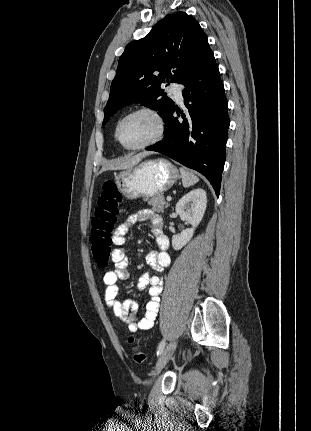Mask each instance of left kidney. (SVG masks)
Wrapping results in <instances>:
<instances>
[{
    "label": "left kidney",
    "instance_id": "5707ae66",
    "mask_svg": "<svg viewBox=\"0 0 311 431\" xmlns=\"http://www.w3.org/2000/svg\"><path fill=\"white\" fill-rule=\"evenodd\" d=\"M207 206V196L205 190L197 188L185 194L176 204V214L183 219L189 221L192 227L183 229L180 235H172V245L174 249H181L191 237H193L194 229L199 225L202 217L205 214Z\"/></svg>",
    "mask_w": 311,
    "mask_h": 431
}]
</instances>
